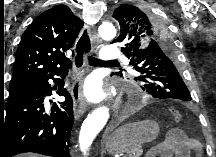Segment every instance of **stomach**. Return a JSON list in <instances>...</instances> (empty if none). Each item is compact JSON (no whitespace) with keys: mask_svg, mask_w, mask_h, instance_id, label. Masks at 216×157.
Masks as SVG:
<instances>
[{"mask_svg":"<svg viewBox=\"0 0 216 157\" xmlns=\"http://www.w3.org/2000/svg\"><path fill=\"white\" fill-rule=\"evenodd\" d=\"M159 134V125L147 120L124 125L115 130L106 140V150L110 154L129 152L142 143L154 140Z\"/></svg>","mask_w":216,"mask_h":157,"instance_id":"stomach-1","label":"stomach"}]
</instances>
